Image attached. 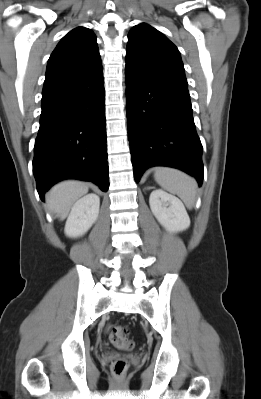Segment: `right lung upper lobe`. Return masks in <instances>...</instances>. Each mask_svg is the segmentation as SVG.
I'll return each mask as SVG.
<instances>
[{
    "label": "right lung upper lobe",
    "instance_id": "obj_1",
    "mask_svg": "<svg viewBox=\"0 0 261 399\" xmlns=\"http://www.w3.org/2000/svg\"><path fill=\"white\" fill-rule=\"evenodd\" d=\"M102 74L96 36L77 27L66 34L52 52L42 95L55 93Z\"/></svg>",
    "mask_w": 261,
    "mask_h": 399
}]
</instances>
